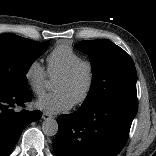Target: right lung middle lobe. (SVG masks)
I'll list each match as a JSON object with an SVG mask.
<instances>
[{
	"label": "right lung middle lobe",
	"mask_w": 156,
	"mask_h": 156,
	"mask_svg": "<svg viewBox=\"0 0 156 156\" xmlns=\"http://www.w3.org/2000/svg\"><path fill=\"white\" fill-rule=\"evenodd\" d=\"M49 41L38 43L14 34H0V87L27 90L26 73Z\"/></svg>",
	"instance_id": "dd1d6c3e"
}]
</instances>
